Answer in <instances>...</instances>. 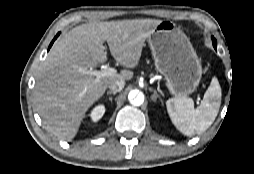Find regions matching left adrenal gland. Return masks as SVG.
<instances>
[{"label": "left adrenal gland", "instance_id": "left-adrenal-gland-1", "mask_svg": "<svg viewBox=\"0 0 254 174\" xmlns=\"http://www.w3.org/2000/svg\"><path fill=\"white\" fill-rule=\"evenodd\" d=\"M151 91L153 92V95L151 96V99H152L153 101H156V99L159 98L160 101L162 102V99H161V97L159 96V94L157 93V91H156V90H153V89H151Z\"/></svg>", "mask_w": 254, "mask_h": 174}]
</instances>
